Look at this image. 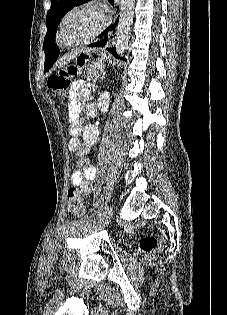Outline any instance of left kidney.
Returning a JSON list of instances; mask_svg holds the SVG:
<instances>
[{"mask_svg": "<svg viewBox=\"0 0 227 315\" xmlns=\"http://www.w3.org/2000/svg\"><path fill=\"white\" fill-rule=\"evenodd\" d=\"M110 104V94L109 92L105 91L100 95L97 100V106L101 112L106 113L108 111ZM83 140L87 147H91L95 144L99 136V129L94 125H87L84 127L83 130Z\"/></svg>", "mask_w": 227, "mask_h": 315, "instance_id": "left-kidney-1", "label": "left kidney"}]
</instances>
